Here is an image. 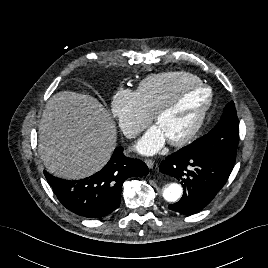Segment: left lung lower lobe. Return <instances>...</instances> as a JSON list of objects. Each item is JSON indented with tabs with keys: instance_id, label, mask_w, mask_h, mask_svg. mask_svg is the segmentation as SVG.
I'll return each mask as SVG.
<instances>
[{
	"instance_id": "left-lung-lower-lobe-1",
	"label": "left lung lower lobe",
	"mask_w": 268,
	"mask_h": 268,
	"mask_svg": "<svg viewBox=\"0 0 268 268\" xmlns=\"http://www.w3.org/2000/svg\"><path fill=\"white\" fill-rule=\"evenodd\" d=\"M233 167L234 163L220 157L187 154L181 150L167 156L159 170L181 181L184 189L182 198L169 208L182 214L199 212L223 187Z\"/></svg>"
}]
</instances>
